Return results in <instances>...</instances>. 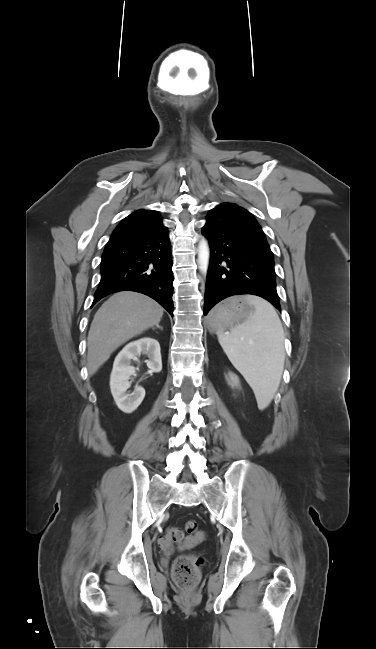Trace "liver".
<instances>
[{
  "mask_svg": "<svg viewBox=\"0 0 376 649\" xmlns=\"http://www.w3.org/2000/svg\"><path fill=\"white\" fill-rule=\"evenodd\" d=\"M163 308L150 297L134 291L112 295L96 312L88 333L87 366L90 375L126 341L157 325Z\"/></svg>",
  "mask_w": 376,
  "mask_h": 649,
  "instance_id": "6515ba94",
  "label": "liver"
}]
</instances>
